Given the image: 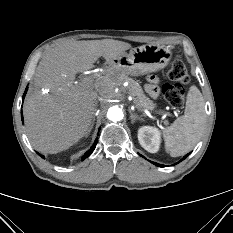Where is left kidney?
Here are the masks:
<instances>
[{
  "instance_id": "1",
  "label": "left kidney",
  "mask_w": 233,
  "mask_h": 233,
  "mask_svg": "<svg viewBox=\"0 0 233 233\" xmlns=\"http://www.w3.org/2000/svg\"><path fill=\"white\" fill-rule=\"evenodd\" d=\"M138 140L145 150L156 153L159 150L161 134L155 127L143 126L138 130Z\"/></svg>"
}]
</instances>
